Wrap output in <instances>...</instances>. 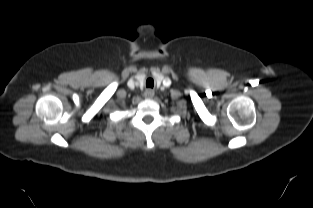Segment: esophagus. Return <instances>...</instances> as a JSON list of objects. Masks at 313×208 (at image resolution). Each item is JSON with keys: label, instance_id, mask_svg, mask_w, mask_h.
Returning a JSON list of instances; mask_svg holds the SVG:
<instances>
[{"label": "esophagus", "instance_id": "esophagus-1", "mask_svg": "<svg viewBox=\"0 0 313 208\" xmlns=\"http://www.w3.org/2000/svg\"><path fill=\"white\" fill-rule=\"evenodd\" d=\"M144 97L146 99H151L154 97V91L152 89H146L144 92Z\"/></svg>", "mask_w": 313, "mask_h": 208}]
</instances>
